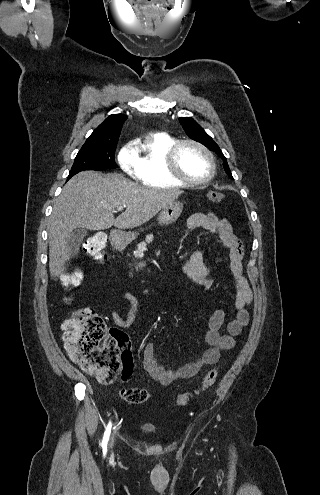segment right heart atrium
Masks as SVG:
<instances>
[{
  "instance_id": "obj_1",
  "label": "right heart atrium",
  "mask_w": 320,
  "mask_h": 495,
  "mask_svg": "<svg viewBox=\"0 0 320 495\" xmlns=\"http://www.w3.org/2000/svg\"><path fill=\"white\" fill-rule=\"evenodd\" d=\"M117 160L124 172L133 176L134 178L137 177V154L132 143L129 142L120 149Z\"/></svg>"
}]
</instances>
